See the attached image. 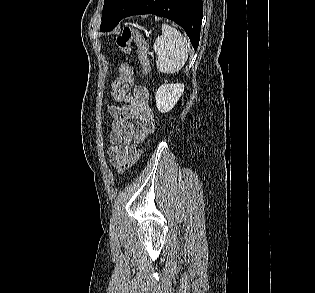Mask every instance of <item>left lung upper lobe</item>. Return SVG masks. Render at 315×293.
<instances>
[{
    "mask_svg": "<svg viewBox=\"0 0 315 293\" xmlns=\"http://www.w3.org/2000/svg\"><path fill=\"white\" fill-rule=\"evenodd\" d=\"M139 0H105L101 31H111Z\"/></svg>",
    "mask_w": 315,
    "mask_h": 293,
    "instance_id": "1",
    "label": "left lung upper lobe"
}]
</instances>
